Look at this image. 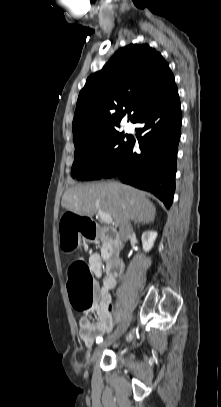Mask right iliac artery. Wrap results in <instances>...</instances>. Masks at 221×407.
I'll list each match as a JSON object with an SVG mask.
<instances>
[{
	"label": "right iliac artery",
	"instance_id": "82829eb1",
	"mask_svg": "<svg viewBox=\"0 0 221 407\" xmlns=\"http://www.w3.org/2000/svg\"><path fill=\"white\" fill-rule=\"evenodd\" d=\"M103 341V338L102 337H98L97 339H96V342L97 343H101Z\"/></svg>",
	"mask_w": 221,
	"mask_h": 407
}]
</instances>
